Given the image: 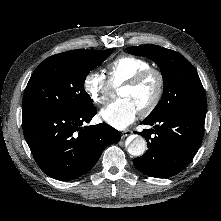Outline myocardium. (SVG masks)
I'll return each instance as SVG.
<instances>
[{
  "mask_svg": "<svg viewBox=\"0 0 221 221\" xmlns=\"http://www.w3.org/2000/svg\"><path fill=\"white\" fill-rule=\"evenodd\" d=\"M155 76L157 79V89L153 99L142 109L139 110L142 116L151 114L160 104L165 90V77L161 70L153 67H148L136 73L131 78L121 84L122 86H138L148 77Z\"/></svg>",
  "mask_w": 221,
  "mask_h": 221,
  "instance_id": "1",
  "label": "myocardium"
}]
</instances>
